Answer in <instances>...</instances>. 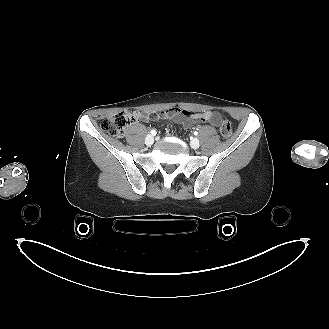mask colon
<instances>
[{
	"instance_id": "1",
	"label": "colon",
	"mask_w": 329,
	"mask_h": 329,
	"mask_svg": "<svg viewBox=\"0 0 329 329\" xmlns=\"http://www.w3.org/2000/svg\"><path fill=\"white\" fill-rule=\"evenodd\" d=\"M137 119L136 114L130 111H122L104 119L101 123V129L112 137H121L124 135L126 128ZM220 133L224 138L232 135L231 123L222 119Z\"/></svg>"
}]
</instances>
